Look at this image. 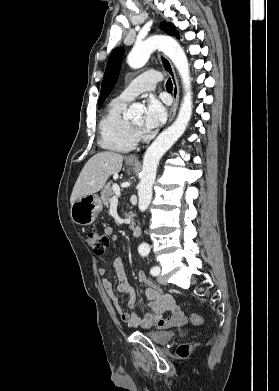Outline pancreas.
I'll list each match as a JSON object with an SVG mask.
<instances>
[{"instance_id": "pancreas-1", "label": "pancreas", "mask_w": 279, "mask_h": 391, "mask_svg": "<svg viewBox=\"0 0 279 391\" xmlns=\"http://www.w3.org/2000/svg\"><path fill=\"white\" fill-rule=\"evenodd\" d=\"M114 196V190L113 187L110 185H106L102 191H101V199L105 206H109L112 197ZM127 217V220H132V214H125Z\"/></svg>"}]
</instances>
